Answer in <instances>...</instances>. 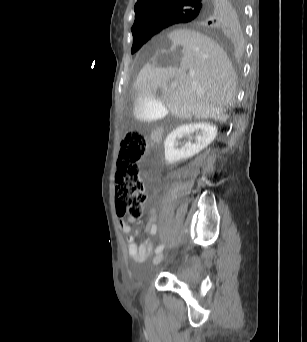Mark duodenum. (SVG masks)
<instances>
[{"label":"duodenum","instance_id":"duodenum-1","mask_svg":"<svg viewBox=\"0 0 307 342\" xmlns=\"http://www.w3.org/2000/svg\"><path fill=\"white\" fill-rule=\"evenodd\" d=\"M162 137V130L157 129L153 134H152V140L154 143H157Z\"/></svg>","mask_w":307,"mask_h":342}]
</instances>
